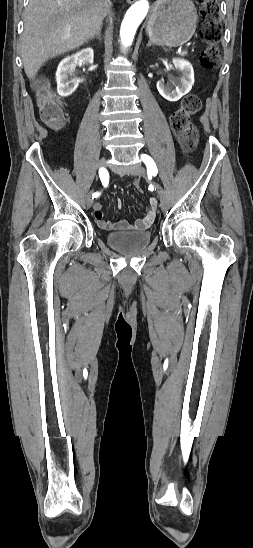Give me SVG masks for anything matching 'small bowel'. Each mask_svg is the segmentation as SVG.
Wrapping results in <instances>:
<instances>
[{
  "instance_id": "small-bowel-1",
  "label": "small bowel",
  "mask_w": 253,
  "mask_h": 548,
  "mask_svg": "<svg viewBox=\"0 0 253 548\" xmlns=\"http://www.w3.org/2000/svg\"><path fill=\"white\" fill-rule=\"evenodd\" d=\"M156 208L157 199L150 198L149 206L146 209L144 216L136 219L134 223H129L125 220L112 222L104 219L102 213V205L101 203L97 202L94 204V217L97 224L105 230H145L152 224L155 218Z\"/></svg>"
}]
</instances>
